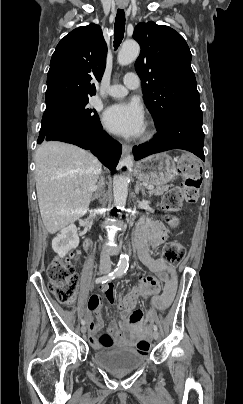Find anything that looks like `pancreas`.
<instances>
[{
  "mask_svg": "<svg viewBox=\"0 0 243 404\" xmlns=\"http://www.w3.org/2000/svg\"><path fill=\"white\" fill-rule=\"evenodd\" d=\"M169 186H156L155 190H151V192H149L150 196H152V194H154V196H162V194H164V192H167Z\"/></svg>",
  "mask_w": 243,
  "mask_h": 404,
  "instance_id": "1",
  "label": "pancreas"
}]
</instances>
